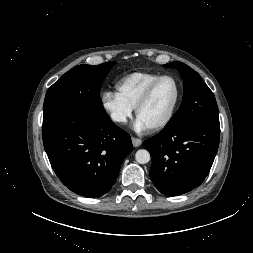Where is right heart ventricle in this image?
Instances as JSON below:
<instances>
[{"mask_svg":"<svg viewBox=\"0 0 253 253\" xmlns=\"http://www.w3.org/2000/svg\"><path fill=\"white\" fill-rule=\"evenodd\" d=\"M161 75L152 72H133L117 81L116 94L130 108H134L146 88Z\"/></svg>","mask_w":253,"mask_h":253,"instance_id":"e07e8e85","label":"right heart ventricle"}]
</instances>
